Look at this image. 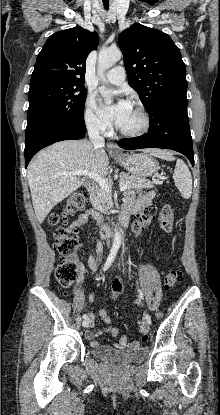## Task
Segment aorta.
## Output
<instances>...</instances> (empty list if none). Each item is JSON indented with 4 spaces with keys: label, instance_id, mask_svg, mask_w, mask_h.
Returning a JSON list of instances; mask_svg holds the SVG:
<instances>
[{
    "label": "aorta",
    "instance_id": "obj_1",
    "mask_svg": "<svg viewBox=\"0 0 220 415\" xmlns=\"http://www.w3.org/2000/svg\"><path fill=\"white\" fill-rule=\"evenodd\" d=\"M122 57V53L117 48H110L101 50L98 56V73L103 75L104 72L117 63ZM106 104L112 102L111 97H105ZM122 242L121 233L118 229L115 230L114 244L120 245Z\"/></svg>",
    "mask_w": 220,
    "mask_h": 415
}]
</instances>
